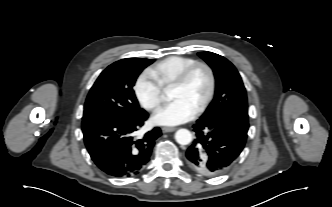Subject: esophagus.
<instances>
[{
    "label": "esophagus",
    "instance_id": "obj_1",
    "mask_svg": "<svg viewBox=\"0 0 332 207\" xmlns=\"http://www.w3.org/2000/svg\"><path fill=\"white\" fill-rule=\"evenodd\" d=\"M175 130H176L175 127H163V128H162V132H163V133L173 132V131H175Z\"/></svg>",
    "mask_w": 332,
    "mask_h": 207
}]
</instances>
